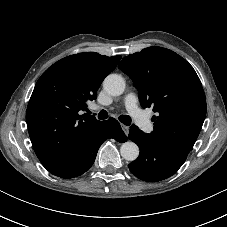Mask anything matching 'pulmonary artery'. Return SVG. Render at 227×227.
I'll list each match as a JSON object with an SVG mask.
<instances>
[{
	"mask_svg": "<svg viewBox=\"0 0 227 227\" xmlns=\"http://www.w3.org/2000/svg\"><path fill=\"white\" fill-rule=\"evenodd\" d=\"M124 104L129 114L136 120L137 124L145 132L152 130V124L145 117L144 113L138 107V98L134 93H128L124 97Z\"/></svg>",
	"mask_w": 227,
	"mask_h": 227,
	"instance_id": "1",
	"label": "pulmonary artery"
}]
</instances>
